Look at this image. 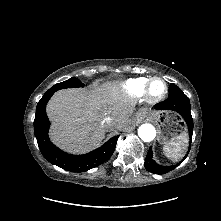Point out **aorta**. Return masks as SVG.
Instances as JSON below:
<instances>
[{"label":"aorta","instance_id":"762f6f07","mask_svg":"<svg viewBox=\"0 0 221 221\" xmlns=\"http://www.w3.org/2000/svg\"><path fill=\"white\" fill-rule=\"evenodd\" d=\"M138 136L144 141V142H150L152 141L156 136V130L153 125L151 124H142L138 128Z\"/></svg>","mask_w":221,"mask_h":221}]
</instances>
